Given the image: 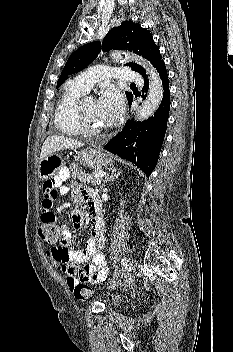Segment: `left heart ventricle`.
<instances>
[{
    "label": "left heart ventricle",
    "instance_id": "left-heart-ventricle-1",
    "mask_svg": "<svg viewBox=\"0 0 233 352\" xmlns=\"http://www.w3.org/2000/svg\"><path fill=\"white\" fill-rule=\"evenodd\" d=\"M84 113L88 124L96 128H104L105 124L103 123L98 110L97 102L93 99H86L83 103Z\"/></svg>",
    "mask_w": 233,
    "mask_h": 352
}]
</instances>
